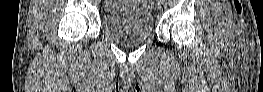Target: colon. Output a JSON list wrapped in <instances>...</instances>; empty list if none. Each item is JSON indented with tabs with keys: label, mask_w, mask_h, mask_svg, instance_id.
<instances>
[{
	"label": "colon",
	"mask_w": 263,
	"mask_h": 92,
	"mask_svg": "<svg viewBox=\"0 0 263 92\" xmlns=\"http://www.w3.org/2000/svg\"><path fill=\"white\" fill-rule=\"evenodd\" d=\"M143 2L148 3V4H151L153 1L148 0V1H143Z\"/></svg>",
	"instance_id": "obj_1"
}]
</instances>
